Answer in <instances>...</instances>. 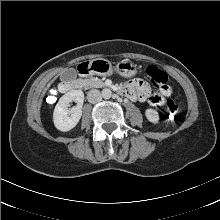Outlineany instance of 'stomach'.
<instances>
[{"label":"stomach","mask_w":220,"mask_h":220,"mask_svg":"<svg viewBox=\"0 0 220 220\" xmlns=\"http://www.w3.org/2000/svg\"><path fill=\"white\" fill-rule=\"evenodd\" d=\"M116 70L124 77H131L137 73L136 65L125 60L117 64ZM113 71L112 64L108 60L94 59L87 62V72L90 75L106 76L111 75Z\"/></svg>","instance_id":"obj_1"}]
</instances>
